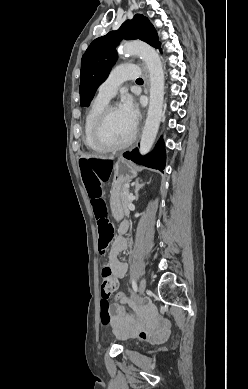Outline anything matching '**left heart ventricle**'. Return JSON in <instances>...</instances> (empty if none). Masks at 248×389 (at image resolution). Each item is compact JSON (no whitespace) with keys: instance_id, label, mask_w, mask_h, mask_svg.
I'll list each match as a JSON object with an SVG mask.
<instances>
[{"instance_id":"b2bd125f","label":"left heart ventricle","mask_w":248,"mask_h":389,"mask_svg":"<svg viewBox=\"0 0 248 389\" xmlns=\"http://www.w3.org/2000/svg\"><path fill=\"white\" fill-rule=\"evenodd\" d=\"M134 126L126 119L120 108L111 111L105 129V137L112 143L125 141L133 132Z\"/></svg>"}]
</instances>
